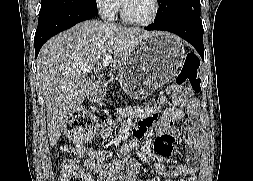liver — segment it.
<instances>
[{"label":"liver","instance_id":"liver-1","mask_svg":"<svg viewBox=\"0 0 253 181\" xmlns=\"http://www.w3.org/2000/svg\"><path fill=\"white\" fill-rule=\"evenodd\" d=\"M154 33L89 20L44 44L36 60V77L46 104L50 146L57 144L68 117L79 110L93 89L81 66L94 68L105 55L113 54L111 68L120 70L131 49Z\"/></svg>","mask_w":253,"mask_h":181}]
</instances>
